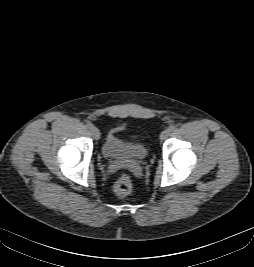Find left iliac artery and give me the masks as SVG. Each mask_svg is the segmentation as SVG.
Instances as JSON below:
<instances>
[{"label":"left iliac artery","mask_w":254,"mask_h":267,"mask_svg":"<svg viewBox=\"0 0 254 267\" xmlns=\"http://www.w3.org/2000/svg\"><path fill=\"white\" fill-rule=\"evenodd\" d=\"M175 128H176L175 125H171V126L169 127V129H170L171 131H173Z\"/></svg>","instance_id":"left-iliac-artery-1"}]
</instances>
